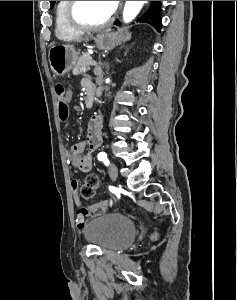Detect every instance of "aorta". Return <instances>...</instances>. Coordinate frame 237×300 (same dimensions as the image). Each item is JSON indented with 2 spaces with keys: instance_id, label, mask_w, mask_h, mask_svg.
Returning <instances> with one entry per match:
<instances>
[{
  "instance_id": "obj_1",
  "label": "aorta",
  "mask_w": 237,
  "mask_h": 300,
  "mask_svg": "<svg viewBox=\"0 0 237 300\" xmlns=\"http://www.w3.org/2000/svg\"><path fill=\"white\" fill-rule=\"evenodd\" d=\"M144 3L146 1H126L125 7L123 9V21L124 23H130L138 13H140Z\"/></svg>"
}]
</instances>
